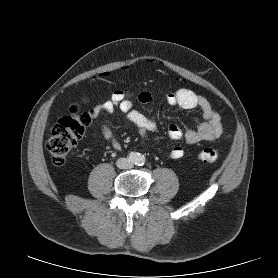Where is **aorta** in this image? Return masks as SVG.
<instances>
[{
    "instance_id": "762f6f07",
    "label": "aorta",
    "mask_w": 278,
    "mask_h": 278,
    "mask_svg": "<svg viewBox=\"0 0 278 278\" xmlns=\"http://www.w3.org/2000/svg\"><path fill=\"white\" fill-rule=\"evenodd\" d=\"M144 162H145V157L141 154H138L136 156V158L134 159V163L137 164V165L144 164Z\"/></svg>"
}]
</instances>
